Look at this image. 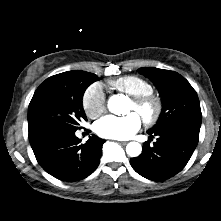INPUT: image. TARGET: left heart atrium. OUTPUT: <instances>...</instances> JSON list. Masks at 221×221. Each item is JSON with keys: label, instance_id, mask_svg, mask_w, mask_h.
<instances>
[{"label": "left heart atrium", "instance_id": "left-heart-atrium-1", "mask_svg": "<svg viewBox=\"0 0 221 221\" xmlns=\"http://www.w3.org/2000/svg\"><path fill=\"white\" fill-rule=\"evenodd\" d=\"M140 127L141 119L135 112L122 117L107 115L98 120L94 126L99 136L116 140L132 137Z\"/></svg>", "mask_w": 221, "mask_h": 221}]
</instances>
